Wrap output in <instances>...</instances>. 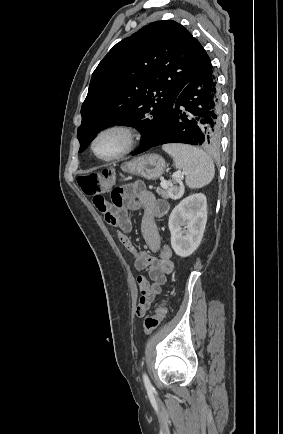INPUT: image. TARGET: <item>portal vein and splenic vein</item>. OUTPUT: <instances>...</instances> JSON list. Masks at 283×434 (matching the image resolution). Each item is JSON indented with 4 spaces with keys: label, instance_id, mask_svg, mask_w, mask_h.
<instances>
[{
    "label": "portal vein and splenic vein",
    "instance_id": "portal-vein-and-splenic-vein-1",
    "mask_svg": "<svg viewBox=\"0 0 283 434\" xmlns=\"http://www.w3.org/2000/svg\"><path fill=\"white\" fill-rule=\"evenodd\" d=\"M180 177H181V173H174V174L172 175V180H170V181L162 180V181H161V186H162L163 188H165V187H167V186H168L172 181H174V180H178Z\"/></svg>",
    "mask_w": 283,
    "mask_h": 434
}]
</instances>
